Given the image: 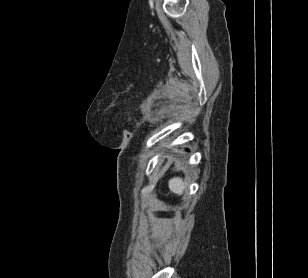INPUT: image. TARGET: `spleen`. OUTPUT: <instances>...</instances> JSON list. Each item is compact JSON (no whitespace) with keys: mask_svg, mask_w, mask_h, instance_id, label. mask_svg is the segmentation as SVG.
<instances>
[{"mask_svg":"<svg viewBox=\"0 0 308 278\" xmlns=\"http://www.w3.org/2000/svg\"><path fill=\"white\" fill-rule=\"evenodd\" d=\"M168 185L170 190L177 195H182L187 187V183L180 177L171 178Z\"/></svg>","mask_w":308,"mask_h":278,"instance_id":"obj_1","label":"spleen"}]
</instances>
